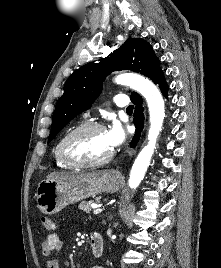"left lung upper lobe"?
I'll return each mask as SVG.
<instances>
[{"instance_id": "5c2ea615", "label": "left lung upper lobe", "mask_w": 221, "mask_h": 268, "mask_svg": "<svg viewBox=\"0 0 221 268\" xmlns=\"http://www.w3.org/2000/svg\"><path fill=\"white\" fill-rule=\"evenodd\" d=\"M116 70H132L158 84L164 74L152 46L140 38H129L99 63H89L76 70L65 82L58 100L48 138L50 142L76 115L90 108L102 90V82ZM138 95L132 92L130 98Z\"/></svg>"}]
</instances>
